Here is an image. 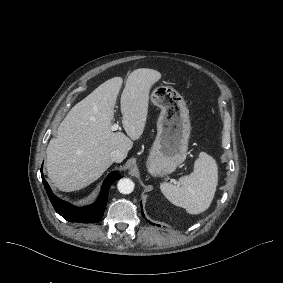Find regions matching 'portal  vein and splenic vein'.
<instances>
[{"mask_svg":"<svg viewBox=\"0 0 283 283\" xmlns=\"http://www.w3.org/2000/svg\"><path fill=\"white\" fill-rule=\"evenodd\" d=\"M117 129H118V124H113L112 126H110L111 131H116Z\"/></svg>","mask_w":283,"mask_h":283,"instance_id":"18ae733b","label":"portal vein and splenic vein"}]
</instances>
